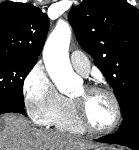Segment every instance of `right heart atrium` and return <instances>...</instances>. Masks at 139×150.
Here are the masks:
<instances>
[{"label":"right heart atrium","mask_w":139,"mask_h":150,"mask_svg":"<svg viewBox=\"0 0 139 150\" xmlns=\"http://www.w3.org/2000/svg\"><path fill=\"white\" fill-rule=\"evenodd\" d=\"M26 111L39 126L51 125L52 119L63 103V96L41 64H36L26 75L22 85Z\"/></svg>","instance_id":"right-heart-atrium-1"}]
</instances>
